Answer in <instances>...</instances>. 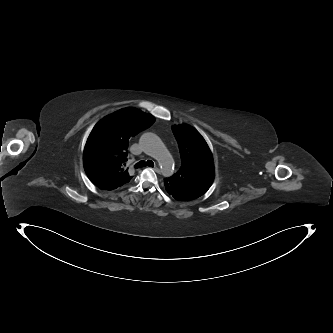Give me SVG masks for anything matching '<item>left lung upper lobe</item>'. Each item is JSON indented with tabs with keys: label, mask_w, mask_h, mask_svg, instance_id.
I'll return each instance as SVG.
<instances>
[{
	"label": "left lung upper lobe",
	"mask_w": 333,
	"mask_h": 333,
	"mask_svg": "<svg viewBox=\"0 0 333 333\" xmlns=\"http://www.w3.org/2000/svg\"><path fill=\"white\" fill-rule=\"evenodd\" d=\"M179 145L181 167L166 178L168 194L180 201L197 199L207 192L213 181V159L210 149L199 132L188 125L173 126Z\"/></svg>",
	"instance_id": "left-lung-upper-lobe-1"
}]
</instances>
